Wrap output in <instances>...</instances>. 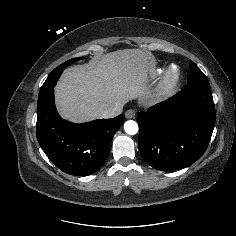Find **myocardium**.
I'll return each instance as SVG.
<instances>
[{
    "label": "myocardium",
    "instance_id": "obj_1",
    "mask_svg": "<svg viewBox=\"0 0 236 236\" xmlns=\"http://www.w3.org/2000/svg\"><path fill=\"white\" fill-rule=\"evenodd\" d=\"M179 80H180V69L176 65L170 66L164 80L165 87L166 88L174 87Z\"/></svg>",
    "mask_w": 236,
    "mask_h": 236
}]
</instances>
